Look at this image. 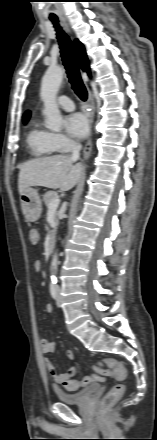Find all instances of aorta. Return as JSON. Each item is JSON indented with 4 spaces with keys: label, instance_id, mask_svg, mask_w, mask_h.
<instances>
[{
    "label": "aorta",
    "instance_id": "obj_1",
    "mask_svg": "<svg viewBox=\"0 0 157 440\" xmlns=\"http://www.w3.org/2000/svg\"><path fill=\"white\" fill-rule=\"evenodd\" d=\"M64 70L60 66H50L41 83L40 96L44 103V115L46 125L52 131H60L62 127V116L60 114L56 96L63 80ZM58 267V254L54 253L51 261V279H55Z\"/></svg>",
    "mask_w": 157,
    "mask_h": 440
}]
</instances>
